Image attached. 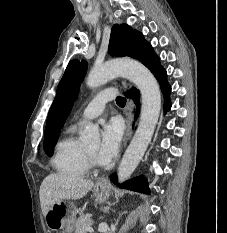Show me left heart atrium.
Instances as JSON below:
<instances>
[{"mask_svg": "<svg viewBox=\"0 0 227 233\" xmlns=\"http://www.w3.org/2000/svg\"><path fill=\"white\" fill-rule=\"evenodd\" d=\"M122 138V129L118 122L110 121L103 126L101 143L97 151V159L105 164L117 154Z\"/></svg>", "mask_w": 227, "mask_h": 233, "instance_id": "left-heart-atrium-1", "label": "left heart atrium"}]
</instances>
